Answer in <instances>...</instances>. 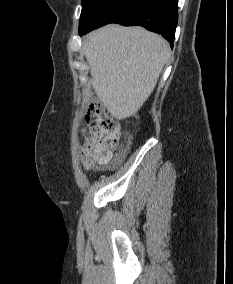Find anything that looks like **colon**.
Instances as JSON below:
<instances>
[{"label": "colon", "instance_id": "colon-1", "mask_svg": "<svg viewBox=\"0 0 233 284\" xmlns=\"http://www.w3.org/2000/svg\"><path fill=\"white\" fill-rule=\"evenodd\" d=\"M86 120L88 134L82 150L83 160L90 165L106 164L111 160L112 151L117 147V125L98 104L89 107Z\"/></svg>", "mask_w": 233, "mask_h": 284}]
</instances>
